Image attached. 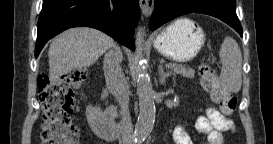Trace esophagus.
<instances>
[{
  "label": "esophagus",
  "instance_id": "esophagus-1",
  "mask_svg": "<svg viewBox=\"0 0 273 144\" xmlns=\"http://www.w3.org/2000/svg\"><path fill=\"white\" fill-rule=\"evenodd\" d=\"M140 9L145 17H149L152 14L154 8V0H140Z\"/></svg>",
  "mask_w": 273,
  "mask_h": 144
}]
</instances>
